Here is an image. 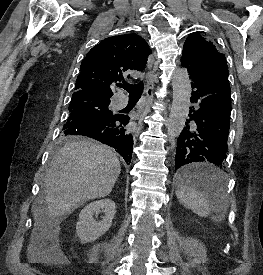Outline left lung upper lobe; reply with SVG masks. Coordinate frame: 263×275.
I'll return each instance as SVG.
<instances>
[{
  "label": "left lung upper lobe",
  "instance_id": "left-lung-upper-lobe-1",
  "mask_svg": "<svg viewBox=\"0 0 263 275\" xmlns=\"http://www.w3.org/2000/svg\"><path fill=\"white\" fill-rule=\"evenodd\" d=\"M181 64L185 67L189 65L201 69L228 68L225 56L211 41L206 40L199 33H192L186 39Z\"/></svg>",
  "mask_w": 263,
  "mask_h": 275
}]
</instances>
